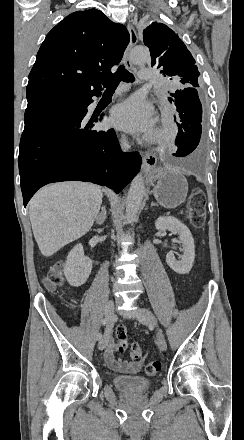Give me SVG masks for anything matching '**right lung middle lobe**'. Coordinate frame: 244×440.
<instances>
[{
	"instance_id": "obj_1",
	"label": "right lung middle lobe",
	"mask_w": 244,
	"mask_h": 440,
	"mask_svg": "<svg viewBox=\"0 0 244 440\" xmlns=\"http://www.w3.org/2000/svg\"><path fill=\"white\" fill-rule=\"evenodd\" d=\"M42 99H50V100H53V99H63V100H68V101H80L81 100L80 98H73V97H48V98L31 99V100H28V101L42 100Z\"/></svg>"
}]
</instances>
